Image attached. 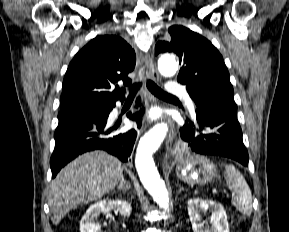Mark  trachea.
Wrapping results in <instances>:
<instances>
[{"label":"trachea","instance_id":"trachea-1","mask_svg":"<svg viewBox=\"0 0 289 232\" xmlns=\"http://www.w3.org/2000/svg\"><path fill=\"white\" fill-rule=\"evenodd\" d=\"M142 82H138L129 88V95L128 98L132 99L135 97L137 91L140 89ZM147 88L149 91L159 98H176L175 96L166 93L160 87H158L153 81L147 80L146 82Z\"/></svg>","mask_w":289,"mask_h":232}]
</instances>
